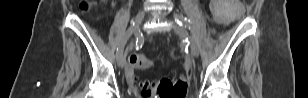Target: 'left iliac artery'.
<instances>
[{
  "instance_id": "44dca946",
  "label": "left iliac artery",
  "mask_w": 308,
  "mask_h": 98,
  "mask_svg": "<svg viewBox=\"0 0 308 98\" xmlns=\"http://www.w3.org/2000/svg\"><path fill=\"white\" fill-rule=\"evenodd\" d=\"M175 21L180 25V26H186L190 22L187 18L183 17L182 15H175Z\"/></svg>"
}]
</instances>
